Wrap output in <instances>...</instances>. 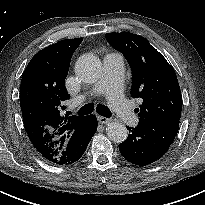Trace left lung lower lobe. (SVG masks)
<instances>
[{
    "label": "left lung lower lobe",
    "mask_w": 205,
    "mask_h": 205,
    "mask_svg": "<svg viewBox=\"0 0 205 205\" xmlns=\"http://www.w3.org/2000/svg\"><path fill=\"white\" fill-rule=\"evenodd\" d=\"M178 128L179 121H139L135 128L127 127L130 134L119 144L120 153L132 164L149 165L168 151Z\"/></svg>",
    "instance_id": "left-lung-lower-lobe-1"
}]
</instances>
